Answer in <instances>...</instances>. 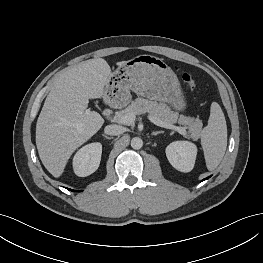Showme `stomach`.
<instances>
[{"label":"stomach","instance_id":"stomach-1","mask_svg":"<svg viewBox=\"0 0 263 263\" xmlns=\"http://www.w3.org/2000/svg\"><path fill=\"white\" fill-rule=\"evenodd\" d=\"M130 90L137 95L170 104L177 112L184 111L187 102L172 69L160 58L139 55L126 61L108 78L106 94L126 103Z\"/></svg>","mask_w":263,"mask_h":263}]
</instances>
